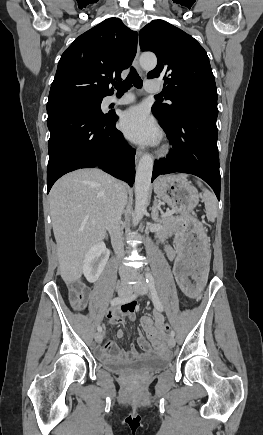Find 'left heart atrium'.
I'll return each instance as SVG.
<instances>
[{
    "mask_svg": "<svg viewBox=\"0 0 263 435\" xmlns=\"http://www.w3.org/2000/svg\"><path fill=\"white\" fill-rule=\"evenodd\" d=\"M119 126L126 137L135 143L156 144L160 140L159 128L142 107L126 110Z\"/></svg>",
    "mask_w": 263,
    "mask_h": 435,
    "instance_id": "obj_1",
    "label": "left heart atrium"
}]
</instances>
